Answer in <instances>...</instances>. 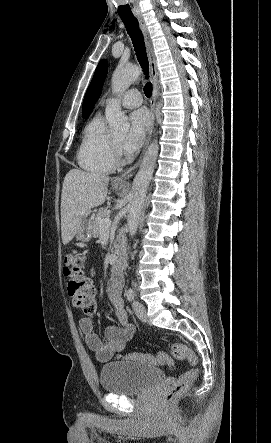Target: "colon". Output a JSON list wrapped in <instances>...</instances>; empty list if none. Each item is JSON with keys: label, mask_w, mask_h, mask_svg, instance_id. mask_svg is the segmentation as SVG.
<instances>
[{"label": "colon", "mask_w": 271, "mask_h": 443, "mask_svg": "<svg viewBox=\"0 0 271 443\" xmlns=\"http://www.w3.org/2000/svg\"><path fill=\"white\" fill-rule=\"evenodd\" d=\"M64 273L69 278L68 294L73 304L85 313L93 314L96 310L95 288L90 279L84 276L85 255L77 252L66 255L64 259ZM172 356L177 360H187L190 368L182 373L179 378L165 391L164 401L168 404L180 397L195 380L198 374V358L191 347L184 343H173L171 346ZM123 359L159 364L172 365V359L166 352L150 353H128Z\"/></svg>", "instance_id": "5ec220e1"}]
</instances>
